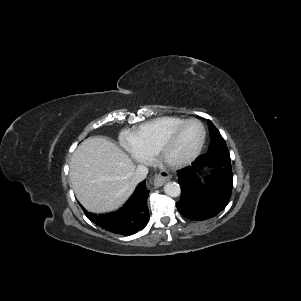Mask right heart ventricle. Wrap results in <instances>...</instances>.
I'll return each mask as SVG.
<instances>
[{
	"label": "right heart ventricle",
	"instance_id": "obj_1",
	"mask_svg": "<svg viewBox=\"0 0 301 301\" xmlns=\"http://www.w3.org/2000/svg\"><path fill=\"white\" fill-rule=\"evenodd\" d=\"M184 120L176 116L159 117L135 127L126 136L137 150L152 156L163 136Z\"/></svg>",
	"mask_w": 301,
	"mask_h": 301
}]
</instances>
